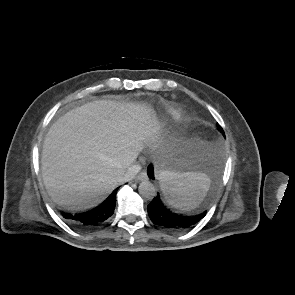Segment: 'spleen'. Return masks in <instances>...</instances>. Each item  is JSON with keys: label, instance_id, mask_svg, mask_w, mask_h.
<instances>
[{"label": "spleen", "instance_id": "obj_1", "mask_svg": "<svg viewBox=\"0 0 295 295\" xmlns=\"http://www.w3.org/2000/svg\"><path fill=\"white\" fill-rule=\"evenodd\" d=\"M161 189L167 202L181 211H190L203 200L210 179L203 173L175 174L162 171L159 175Z\"/></svg>", "mask_w": 295, "mask_h": 295}]
</instances>
